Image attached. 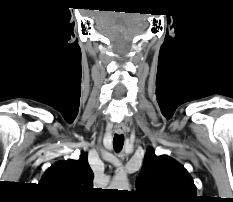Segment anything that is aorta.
<instances>
[{"label":"aorta","mask_w":233,"mask_h":202,"mask_svg":"<svg viewBox=\"0 0 233 202\" xmlns=\"http://www.w3.org/2000/svg\"><path fill=\"white\" fill-rule=\"evenodd\" d=\"M129 187L128 180L125 176L116 177L112 184L110 185V189H118V190H127Z\"/></svg>","instance_id":"762f6f07"}]
</instances>
